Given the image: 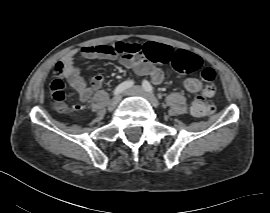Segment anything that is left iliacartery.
Segmentation results:
<instances>
[{
  "instance_id": "1",
  "label": "left iliac artery",
  "mask_w": 270,
  "mask_h": 213,
  "mask_svg": "<svg viewBox=\"0 0 270 213\" xmlns=\"http://www.w3.org/2000/svg\"><path fill=\"white\" fill-rule=\"evenodd\" d=\"M142 86L147 92L154 93V89L152 85L147 80L143 81Z\"/></svg>"
}]
</instances>
